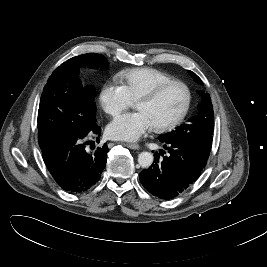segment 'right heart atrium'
<instances>
[{"label": "right heart atrium", "mask_w": 267, "mask_h": 267, "mask_svg": "<svg viewBox=\"0 0 267 267\" xmlns=\"http://www.w3.org/2000/svg\"><path fill=\"white\" fill-rule=\"evenodd\" d=\"M99 101L104 112L110 116H117L132 104L122 85L107 83L102 86Z\"/></svg>", "instance_id": "obj_1"}]
</instances>
